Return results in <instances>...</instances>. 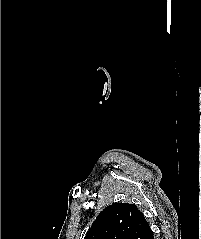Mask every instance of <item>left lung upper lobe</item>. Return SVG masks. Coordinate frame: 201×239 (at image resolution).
Listing matches in <instances>:
<instances>
[{
    "instance_id": "1",
    "label": "left lung upper lobe",
    "mask_w": 201,
    "mask_h": 239,
    "mask_svg": "<svg viewBox=\"0 0 201 239\" xmlns=\"http://www.w3.org/2000/svg\"><path fill=\"white\" fill-rule=\"evenodd\" d=\"M150 231L134 204L114 203L100 212L85 239H147Z\"/></svg>"
}]
</instances>
